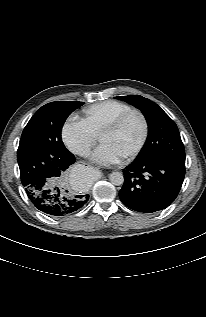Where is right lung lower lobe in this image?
I'll return each instance as SVG.
<instances>
[{
	"mask_svg": "<svg viewBox=\"0 0 206 317\" xmlns=\"http://www.w3.org/2000/svg\"><path fill=\"white\" fill-rule=\"evenodd\" d=\"M75 162L72 153L61 156L56 165L57 171H65ZM26 194L34 206L40 211L53 215L65 216L82 208L89 195L76 194L66 190L65 185L55 184L51 174H45L32 179L24 185Z\"/></svg>",
	"mask_w": 206,
	"mask_h": 317,
	"instance_id": "obj_1",
	"label": "right lung lower lobe"
}]
</instances>
